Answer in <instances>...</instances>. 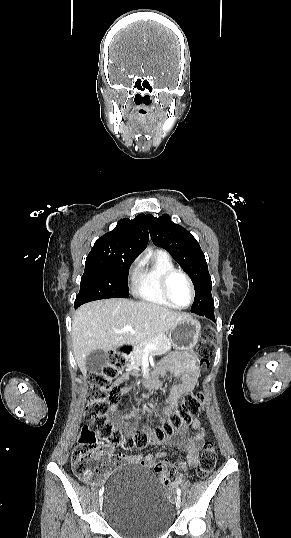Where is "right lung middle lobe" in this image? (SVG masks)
I'll list each match as a JSON object with an SVG mask.
<instances>
[{"instance_id": "obj_1", "label": "right lung middle lobe", "mask_w": 291, "mask_h": 538, "mask_svg": "<svg viewBox=\"0 0 291 538\" xmlns=\"http://www.w3.org/2000/svg\"><path fill=\"white\" fill-rule=\"evenodd\" d=\"M134 259L128 255L89 254L74 306L99 299L127 298L128 273Z\"/></svg>"}]
</instances>
